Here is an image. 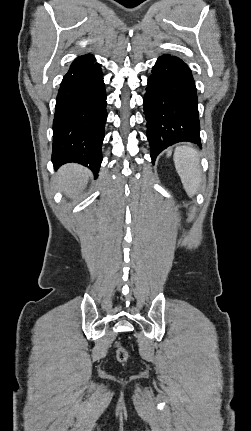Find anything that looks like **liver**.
I'll return each mask as SVG.
<instances>
[{"mask_svg": "<svg viewBox=\"0 0 251 431\" xmlns=\"http://www.w3.org/2000/svg\"><path fill=\"white\" fill-rule=\"evenodd\" d=\"M90 171L75 163L62 166L56 174L58 187L69 198L77 197L87 186Z\"/></svg>", "mask_w": 251, "mask_h": 431, "instance_id": "liver-1", "label": "liver"}]
</instances>
